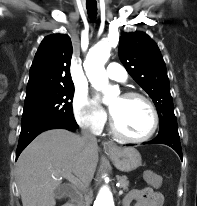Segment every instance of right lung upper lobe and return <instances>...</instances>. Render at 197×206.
<instances>
[{"instance_id":"1","label":"right lung upper lobe","mask_w":197,"mask_h":206,"mask_svg":"<svg viewBox=\"0 0 197 206\" xmlns=\"http://www.w3.org/2000/svg\"><path fill=\"white\" fill-rule=\"evenodd\" d=\"M71 57L72 43L69 36L53 34L45 37L30 68L27 89L73 85Z\"/></svg>"}]
</instances>
